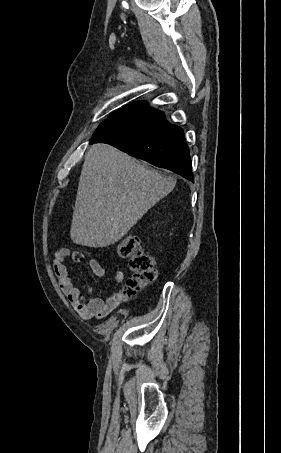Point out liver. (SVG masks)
I'll return each mask as SVG.
<instances>
[{"label":"liver","instance_id":"1","mask_svg":"<svg viewBox=\"0 0 281 453\" xmlns=\"http://www.w3.org/2000/svg\"><path fill=\"white\" fill-rule=\"evenodd\" d=\"M175 184V178L147 170L114 146L92 144L79 178L70 231L73 243L114 245Z\"/></svg>","mask_w":281,"mask_h":453}]
</instances>
